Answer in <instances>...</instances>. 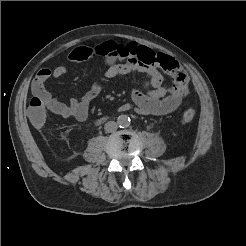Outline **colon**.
<instances>
[{"label": "colon", "mask_w": 246, "mask_h": 246, "mask_svg": "<svg viewBox=\"0 0 246 246\" xmlns=\"http://www.w3.org/2000/svg\"><path fill=\"white\" fill-rule=\"evenodd\" d=\"M136 60L146 66H157L164 73L173 79V85L169 89L171 93L185 96L188 93V75L183 67L172 57L163 53H156L153 50L140 46L135 52ZM49 105L40 96H34L28 106V114L31 122L37 126H42L48 116ZM195 117V110L187 108L181 115V123L189 124Z\"/></svg>", "instance_id": "colon-1"}]
</instances>
